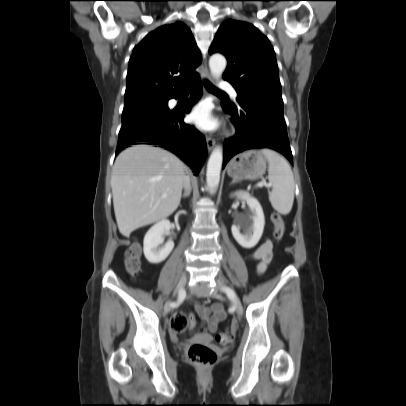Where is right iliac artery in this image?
I'll list each match as a JSON object with an SVG mask.
<instances>
[{
	"label": "right iliac artery",
	"instance_id": "82829eb1",
	"mask_svg": "<svg viewBox=\"0 0 406 406\" xmlns=\"http://www.w3.org/2000/svg\"><path fill=\"white\" fill-rule=\"evenodd\" d=\"M183 295H184V291L181 290V291L179 292V297H178L177 303H171V306H173V307L177 306V305L182 301Z\"/></svg>",
	"mask_w": 406,
	"mask_h": 406
}]
</instances>
